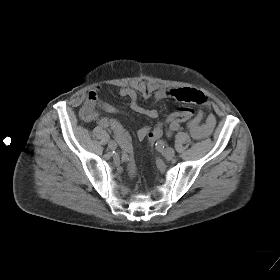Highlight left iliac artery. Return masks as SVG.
Masks as SVG:
<instances>
[{
    "mask_svg": "<svg viewBox=\"0 0 280 280\" xmlns=\"http://www.w3.org/2000/svg\"><path fill=\"white\" fill-rule=\"evenodd\" d=\"M180 129L179 123H173L170 125V132L178 131Z\"/></svg>",
    "mask_w": 280,
    "mask_h": 280,
    "instance_id": "1",
    "label": "left iliac artery"
}]
</instances>
